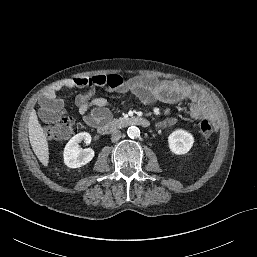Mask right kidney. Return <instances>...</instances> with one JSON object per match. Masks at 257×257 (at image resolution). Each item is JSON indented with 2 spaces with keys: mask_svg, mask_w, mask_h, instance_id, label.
Wrapping results in <instances>:
<instances>
[{
  "mask_svg": "<svg viewBox=\"0 0 257 257\" xmlns=\"http://www.w3.org/2000/svg\"><path fill=\"white\" fill-rule=\"evenodd\" d=\"M84 141L91 143V135L87 132H81L73 136L64 148V163L69 168H79L89 163L94 157V151L91 148L82 149L79 143Z\"/></svg>",
  "mask_w": 257,
  "mask_h": 257,
  "instance_id": "ca27d5eb",
  "label": "right kidney"
}]
</instances>
